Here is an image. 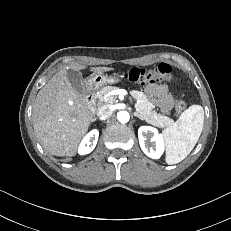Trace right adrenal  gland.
I'll return each mask as SVG.
<instances>
[{
    "label": "right adrenal gland",
    "instance_id": "2a0ac1e0",
    "mask_svg": "<svg viewBox=\"0 0 231 231\" xmlns=\"http://www.w3.org/2000/svg\"><path fill=\"white\" fill-rule=\"evenodd\" d=\"M94 121H96V118H95V119H93V122H94Z\"/></svg>",
    "mask_w": 231,
    "mask_h": 231
}]
</instances>
